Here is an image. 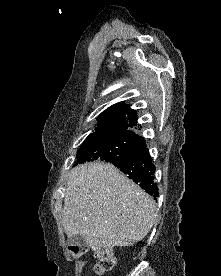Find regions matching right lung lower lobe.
Segmentation results:
<instances>
[{
    "mask_svg": "<svg viewBox=\"0 0 221 276\" xmlns=\"http://www.w3.org/2000/svg\"><path fill=\"white\" fill-rule=\"evenodd\" d=\"M111 163L147 193L154 197L158 196V187L153 177L155 166L145 143L126 158L117 159Z\"/></svg>",
    "mask_w": 221,
    "mask_h": 276,
    "instance_id": "1",
    "label": "right lung lower lobe"
}]
</instances>
